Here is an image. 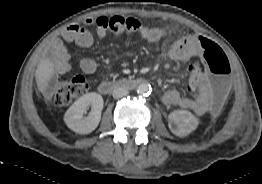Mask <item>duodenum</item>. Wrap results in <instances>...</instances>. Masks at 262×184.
<instances>
[{"label":"duodenum","mask_w":262,"mask_h":184,"mask_svg":"<svg viewBox=\"0 0 262 184\" xmlns=\"http://www.w3.org/2000/svg\"><path fill=\"white\" fill-rule=\"evenodd\" d=\"M143 82L141 78H125L118 81L105 80L99 84V92L106 95L111 93L116 88H132L140 85Z\"/></svg>","instance_id":"obj_1"}]
</instances>
